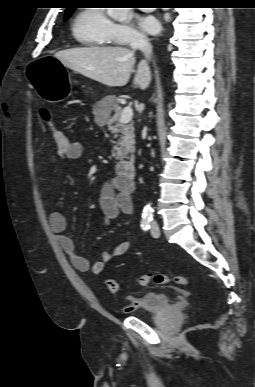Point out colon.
Listing matches in <instances>:
<instances>
[{
    "label": "colon",
    "mask_w": 255,
    "mask_h": 387,
    "mask_svg": "<svg viewBox=\"0 0 255 387\" xmlns=\"http://www.w3.org/2000/svg\"><path fill=\"white\" fill-rule=\"evenodd\" d=\"M39 114L42 121L48 127V129L52 134V138L58 153L59 154L66 153L69 149L70 141L62 131H60L54 126L52 121V116L49 110L46 108H41L39 111ZM138 283L140 286H147L150 283H154L155 285L187 286L189 285V280L183 276H168L164 274H156V275L144 274L139 276ZM105 286L107 290L113 294H116L119 292V284L113 278H107L105 280Z\"/></svg>",
    "instance_id": "colon-1"
}]
</instances>
